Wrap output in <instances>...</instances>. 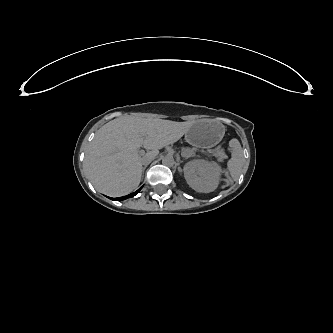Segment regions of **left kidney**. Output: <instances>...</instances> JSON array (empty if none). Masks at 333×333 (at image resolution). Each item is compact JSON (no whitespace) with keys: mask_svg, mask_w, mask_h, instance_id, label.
<instances>
[{"mask_svg":"<svg viewBox=\"0 0 333 333\" xmlns=\"http://www.w3.org/2000/svg\"><path fill=\"white\" fill-rule=\"evenodd\" d=\"M187 184L197 192H213L221 181V167L217 162L205 159H193L184 167Z\"/></svg>","mask_w":333,"mask_h":333,"instance_id":"obj_1","label":"left kidney"}]
</instances>
